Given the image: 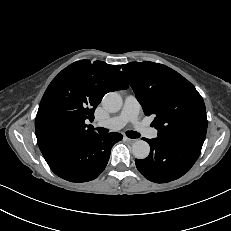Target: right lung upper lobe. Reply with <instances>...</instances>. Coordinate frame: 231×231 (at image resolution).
Listing matches in <instances>:
<instances>
[{
	"label": "right lung upper lobe",
	"instance_id": "right-lung-upper-lobe-1",
	"mask_svg": "<svg viewBox=\"0 0 231 231\" xmlns=\"http://www.w3.org/2000/svg\"><path fill=\"white\" fill-rule=\"evenodd\" d=\"M128 87L120 76V65L81 60L63 69L46 89L35 119L42 154L95 135L86 122L93 121L103 96Z\"/></svg>",
	"mask_w": 231,
	"mask_h": 231
}]
</instances>
